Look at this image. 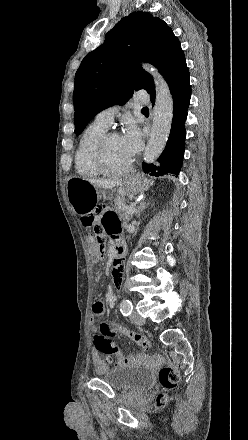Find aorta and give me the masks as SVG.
I'll list each match as a JSON object with an SVG mask.
<instances>
[{
  "mask_svg": "<svg viewBox=\"0 0 248 440\" xmlns=\"http://www.w3.org/2000/svg\"><path fill=\"white\" fill-rule=\"evenodd\" d=\"M143 67L152 74L156 85L153 125L144 152V161L153 163L164 150L170 134L173 119V98L168 84L157 69L150 64H143Z\"/></svg>",
  "mask_w": 248,
  "mask_h": 440,
  "instance_id": "aorta-1",
  "label": "aorta"
}]
</instances>
